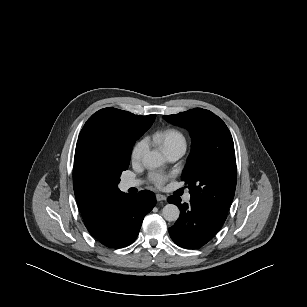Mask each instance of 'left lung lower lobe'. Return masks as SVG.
<instances>
[{
	"instance_id": "left-lung-lower-lobe-1",
	"label": "left lung lower lobe",
	"mask_w": 307,
	"mask_h": 307,
	"mask_svg": "<svg viewBox=\"0 0 307 307\" xmlns=\"http://www.w3.org/2000/svg\"><path fill=\"white\" fill-rule=\"evenodd\" d=\"M167 201L176 204L181 215L177 222L169 228L172 240L180 247L196 249L211 240L224 224L223 219L215 216L198 203H181L177 196H170Z\"/></svg>"
}]
</instances>
